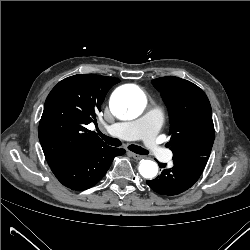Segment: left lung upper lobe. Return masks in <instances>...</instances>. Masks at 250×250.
Listing matches in <instances>:
<instances>
[{"label":"left lung upper lobe","mask_w":250,"mask_h":250,"mask_svg":"<svg viewBox=\"0 0 250 250\" xmlns=\"http://www.w3.org/2000/svg\"><path fill=\"white\" fill-rule=\"evenodd\" d=\"M168 108L173 160L209 158L214 142L212 110L206 94L195 84L174 76L152 80Z\"/></svg>","instance_id":"1"}]
</instances>
